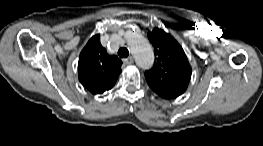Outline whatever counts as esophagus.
<instances>
[{
    "label": "esophagus",
    "mask_w": 263,
    "mask_h": 146,
    "mask_svg": "<svg viewBox=\"0 0 263 146\" xmlns=\"http://www.w3.org/2000/svg\"><path fill=\"white\" fill-rule=\"evenodd\" d=\"M123 62L127 65H130L134 62L133 58L132 57H128L126 59H123Z\"/></svg>",
    "instance_id": "obj_1"
}]
</instances>
